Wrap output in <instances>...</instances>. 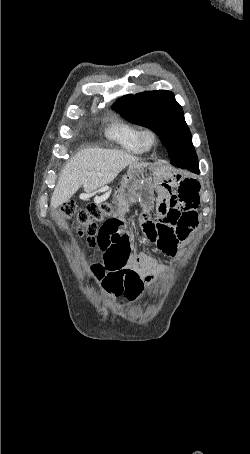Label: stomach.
Masks as SVG:
<instances>
[{"label":"stomach","mask_w":250,"mask_h":454,"mask_svg":"<svg viewBox=\"0 0 250 454\" xmlns=\"http://www.w3.org/2000/svg\"><path fill=\"white\" fill-rule=\"evenodd\" d=\"M152 174L151 166H139L136 164H131L129 166L126 176H149ZM122 184V183H121Z\"/></svg>","instance_id":"0dacf381"}]
</instances>
